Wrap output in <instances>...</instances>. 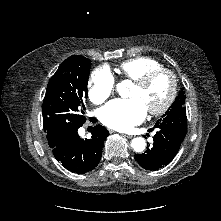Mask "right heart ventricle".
<instances>
[{
    "label": "right heart ventricle",
    "instance_id": "1",
    "mask_svg": "<svg viewBox=\"0 0 221 221\" xmlns=\"http://www.w3.org/2000/svg\"><path fill=\"white\" fill-rule=\"evenodd\" d=\"M160 67L161 64L153 58L136 57L123 61L118 69L123 77L135 81L144 74Z\"/></svg>",
    "mask_w": 221,
    "mask_h": 221
}]
</instances>
